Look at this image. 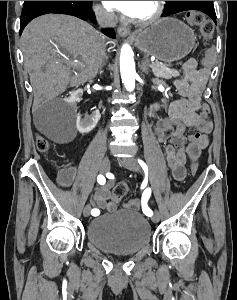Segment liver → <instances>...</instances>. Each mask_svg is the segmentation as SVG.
I'll return each instance as SVG.
<instances>
[{
    "label": "liver",
    "mask_w": 237,
    "mask_h": 300,
    "mask_svg": "<svg viewBox=\"0 0 237 300\" xmlns=\"http://www.w3.org/2000/svg\"><path fill=\"white\" fill-rule=\"evenodd\" d=\"M103 41L96 29L77 17L42 15L33 19L21 35V49L35 103L42 95L55 97L68 85L78 87L94 79L104 59ZM71 69L79 71L78 75H72Z\"/></svg>",
    "instance_id": "1"
}]
</instances>
